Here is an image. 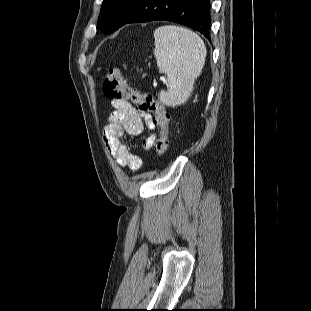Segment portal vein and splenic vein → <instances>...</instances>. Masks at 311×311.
Returning a JSON list of instances; mask_svg holds the SVG:
<instances>
[{
  "instance_id": "18ae733b",
  "label": "portal vein and splenic vein",
  "mask_w": 311,
  "mask_h": 311,
  "mask_svg": "<svg viewBox=\"0 0 311 311\" xmlns=\"http://www.w3.org/2000/svg\"><path fill=\"white\" fill-rule=\"evenodd\" d=\"M161 80H163V81H164V77H161Z\"/></svg>"
}]
</instances>
